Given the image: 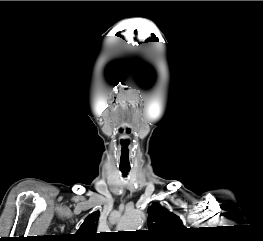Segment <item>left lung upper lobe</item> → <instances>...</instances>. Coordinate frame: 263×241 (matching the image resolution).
Returning <instances> with one entry per match:
<instances>
[{
  "mask_svg": "<svg viewBox=\"0 0 263 241\" xmlns=\"http://www.w3.org/2000/svg\"><path fill=\"white\" fill-rule=\"evenodd\" d=\"M148 227L160 241H179L186 229L177 215L157 203L148 209Z\"/></svg>",
  "mask_w": 263,
  "mask_h": 241,
  "instance_id": "left-lung-upper-lobe-1",
  "label": "left lung upper lobe"
}]
</instances>
